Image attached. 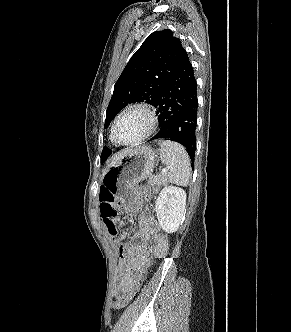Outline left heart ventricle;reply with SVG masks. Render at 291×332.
<instances>
[{
    "label": "left heart ventricle",
    "mask_w": 291,
    "mask_h": 332,
    "mask_svg": "<svg viewBox=\"0 0 291 332\" xmlns=\"http://www.w3.org/2000/svg\"><path fill=\"white\" fill-rule=\"evenodd\" d=\"M148 125V117L143 111H128L118 122L117 137L125 142L135 140L147 131Z\"/></svg>",
    "instance_id": "b2bd125f"
}]
</instances>
